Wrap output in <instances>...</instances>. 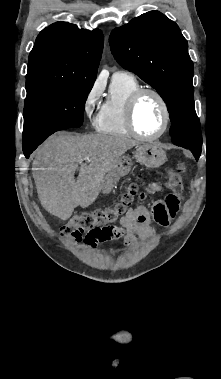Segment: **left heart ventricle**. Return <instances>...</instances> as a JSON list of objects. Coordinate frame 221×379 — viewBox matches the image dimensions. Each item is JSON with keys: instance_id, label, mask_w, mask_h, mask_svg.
<instances>
[{"instance_id": "b2bd125f", "label": "left heart ventricle", "mask_w": 221, "mask_h": 379, "mask_svg": "<svg viewBox=\"0 0 221 379\" xmlns=\"http://www.w3.org/2000/svg\"><path fill=\"white\" fill-rule=\"evenodd\" d=\"M164 122L162 107L151 94L144 95L138 102L135 112V123L140 133L144 135L157 134Z\"/></svg>"}]
</instances>
